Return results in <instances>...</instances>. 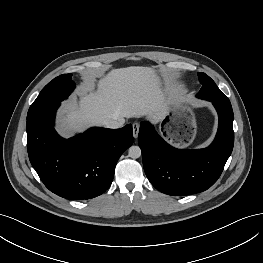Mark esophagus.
Here are the masks:
<instances>
[{
	"mask_svg": "<svg viewBox=\"0 0 263 263\" xmlns=\"http://www.w3.org/2000/svg\"><path fill=\"white\" fill-rule=\"evenodd\" d=\"M132 127H133V136L136 139L139 134L140 125L138 123H133Z\"/></svg>",
	"mask_w": 263,
	"mask_h": 263,
	"instance_id": "esophagus-1",
	"label": "esophagus"
}]
</instances>
